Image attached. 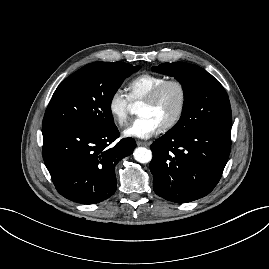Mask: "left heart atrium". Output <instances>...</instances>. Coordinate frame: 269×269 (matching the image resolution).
Wrapping results in <instances>:
<instances>
[{
    "label": "left heart atrium",
    "mask_w": 269,
    "mask_h": 269,
    "mask_svg": "<svg viewBox=\"0 0 269 269\" xmlns=\"http://www.w3.org/2000/svg\"><path fill=\"white\" fill-rule=\"evenodd\" d=\"M161 129V125L151 116H140L124 130L126 137L148 139Z\"/></svg>",
    "instance_id": "left-heart-atrium-1"
}]
</instances>
